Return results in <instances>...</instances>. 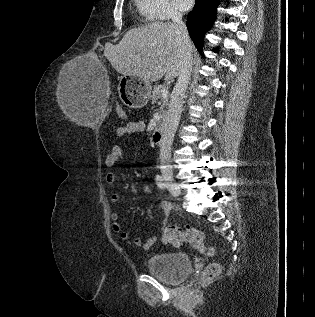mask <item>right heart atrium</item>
<instances>
[{
	"label": "right heart atrium",
	"mask_w": 315,
	"mask_h": 317,
	"mask_svg": "<svg viewBox=\"0 0 315 317\" xmlns=\"http://www.w3.org/2000/svg\"><path fill=\"white\" fill-rule=\"evenodd\" d=\"M145 15L151 20H166L179 16L171 0H139Z\"/></svg>",
	"instance_id": "1"
}]
</instances>
